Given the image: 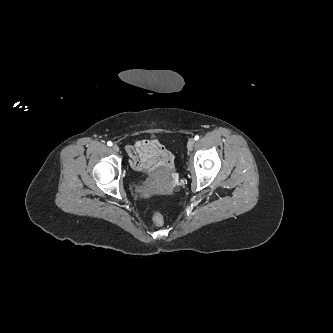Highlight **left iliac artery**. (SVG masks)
I'll return each mask as SVG.
<instances>
[{"label": "left iliac artery", "mask_w": 333, "mask_h": 333, "mask_svg": "<svg viewBox=\"0 0 333 333\" xmlns=\"http://www.w3.org/2000/svg\"><path fill=\"white\" fill-rule=\"evenodd\" d=\"M194 139L197 141V140L199 139V136H198V135H196Z\"/></svg>", "instance_id": "left-iliac-artery-1"}]
</instances>
